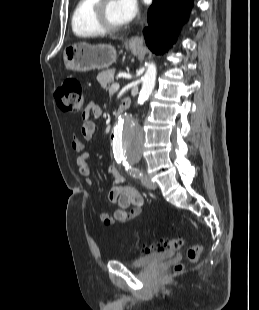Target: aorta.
Here are the masks:
<instances>
[{
    "mask_svg": "<svg viewBox=\"0 0 259 310\" xmlns=\"http://www.w3.org/2000/svg\"><path fill=\"white\" fill-rule=\"evenodd\" d=\"M156 80V66L149 64L143 77L142 88L137 104L141 105L151 95ZM132 107L124 112L114 129L112 146L114 154L125 157L128 160H138L142 155L144 134L142 128L134 121Z\"/></svg>",
    "mask_w": 259,
    "mask_h": 310,
    "instance_id": "762f6f07",
    "label": "aorta"
}]
</instances>
